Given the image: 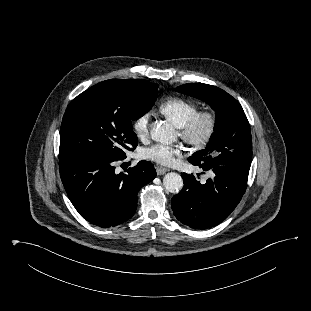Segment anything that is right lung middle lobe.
<instances>
[{
    "label": "right lung middle lobe",
    "mask_w": 311,
    "mask_h": 311,
    "mask_svg": "<svg viewBox=\"0 0 311 311\" xmlns=\"http://www.w3.org/2000/svg\"><path fill=\"white\" fill-rule=\"evenodd\" d=\"M157 88V84L146 80L113 79L78 95L62 120L59 159H124L125 151L138 145L131 122L152 108Z\"/></svg>",
    "instance_id": "obj_1"
}]
</instances>
